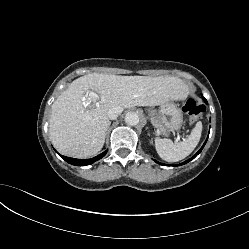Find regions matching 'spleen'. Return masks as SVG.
Returning a JSON list of instances; mask_svg holds the SVG:
<instances>
[{
  "label": "spleen",
  "mask_w": 249,
  "mask_h": 249,
  "mask_svg": "<svg viewBox=\"0 0 249 249\" xmlns=\"http://www.w3.org/2000/svg\"><path fill=\"white\" fill-rule=\"evenodd\" d=\"M202 123L197 122L188 138L179 143H173L170 139H157L156 149L159 156L167 162H177L190 155L200 141Z\"/></svg>",
  "instance_id": "obj_1"
}]
</instances>
